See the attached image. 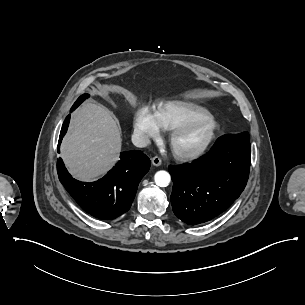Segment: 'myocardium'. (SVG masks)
Wrapping results in <instances>:
<instances>
[{
    "mask_svg": "<svg viewBox=\"0 0 305 305\" xmlns=\"http://www.w3.org/2000/svg\"><path fill=\"white\" fill-rule=\"evenodd\" d=\"M208 122L211 130L206 140L200 144L191 145L185 141L188 130L198 124ZM221 133V124L214 114L201 117L187 122L178 127L172 134L170 144L173 155L181 160H190L196 158L208 151L217 141Z\"/></svg>",
    "mask_w": 305,
    "mask_h": 305,
    "instance_id": "f54148a6",
    "label": "myocardium"
}]
</instances>
